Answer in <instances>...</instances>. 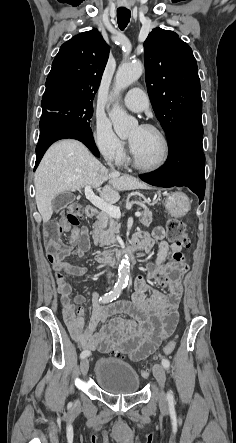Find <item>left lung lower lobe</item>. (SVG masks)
I'll list each match as a JSON object with an SVG mask.
<instances>
[{
    "label": "left lung lower lobe",
    "mask_w": 236,
    "mask_h": 443,
    "mask_svg": "<svg viewBox=\"0 0 236 443\" xmlns=\"http://www.w3.org/2000/svg\"><path fill=\"white\" fill-rule=\"evenodd\" d=\"M203 127L201 122L180 126L169 138V155L164 167L140 175V178L154 186L189 187L199 197V204L205 192V156L202 150Z\"/></svg>",
    "instance_id": "1"
}]
</instances>
